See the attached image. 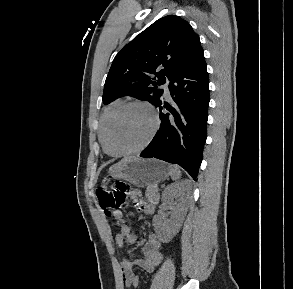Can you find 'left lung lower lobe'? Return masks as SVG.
<instances>
[{"instance_id":"0a47b994","label":"left lung lower lobe","mask_w":293,"mask_h":289,"mask_svg":"<svg viewBox=\"0 0 293 289\" xmlns=\"http://www.w3.org/2000/svg\"><path fill=\"white\" fill-rule=\"evenodd\" d=\"M172 103L155 105L161 111L160 128L141 157H154L183 167L196 181L207 138L209 80L203 51L170 80Z\"/></svg>"}]
</instances>
